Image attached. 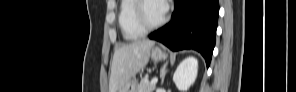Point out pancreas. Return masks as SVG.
<instances>
[{
    "label": "pancreas",
    "instance_id": "pancreas-1",
    "mask_svg": "<svg viewBox=\"0 0 296 92\" xmlns=\"http://www.w3.org/2000/svg\"><path fill=\"white\" fill-rule=\"evenodd\" d=\"M155 88H156V85L151 84V82H149V80H148V77L145 76L140 81L138 88H137V92H153Z\"/></svg>",
    "mask_w": 296,
    "mask_h": 92
}]
</instances>
